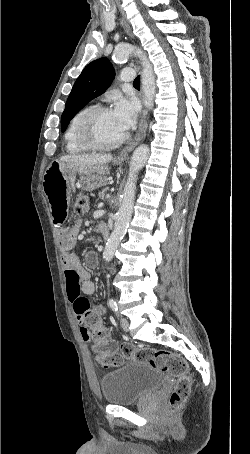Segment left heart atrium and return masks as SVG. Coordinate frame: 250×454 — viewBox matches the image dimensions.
<instances>
[{"mask_svg": "<svg viewBox=\"0 0 250 454\" xmlns=\"http://www.w3.org/2000/svg\"><path fill=\"white\" fill-rule=\"evenodd\" d=\"M139 111V104L134 98H118L115 101L112 113L119 127L126 132L136 121Z\"/></svg>", "mask_w": 250, "mask_h": 454, "instance_id": "left-heart-atrium-1", "label": "left heart atrium"}]
</instances>
